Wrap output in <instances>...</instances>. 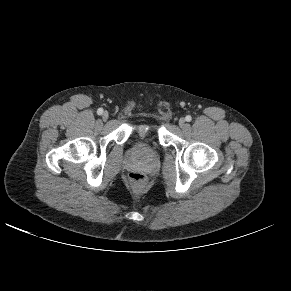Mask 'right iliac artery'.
Instances as JSON below:
<instances>
[{"instance_id":"82829eb1","label":"right iliac artery","mask_w":291,"mask_h":291,"mask_svg":"<svg viewBox=\"0 0 291 291\" xmlns=\"http://www.w3.org/2000/svg\"><path fill=\"white\" fill-rule=\"evenodd\" d=\"M97 113H98V115H101V114L103 113V109H102V108H99V109L97 110Z\"/></svg>"}]
</instances>
